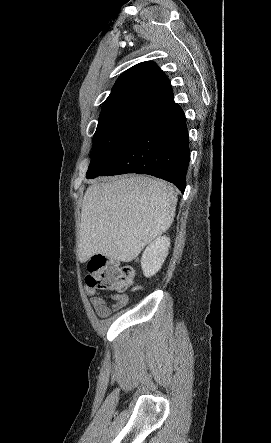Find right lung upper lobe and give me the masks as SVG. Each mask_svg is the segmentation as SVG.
<instances>
[{"label":"right lung upper lobe","mask_w":271,"mask_h":443,"mask_svg":"<svg viewBox=\"0 0 271 443\" xmlns=\"http://www.w3.org/2000/svg\"><path fill=\"white\" fill-rule=\"evenodd\" d=\"M173 98L169 79L154 62L139 63L122 73L103 105L143 101L153 105Z\"/></svg>","instance_id":"right-lung-upper-lobe-1"}]
</instances>
